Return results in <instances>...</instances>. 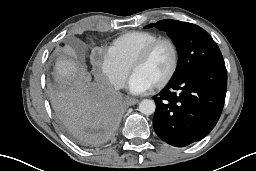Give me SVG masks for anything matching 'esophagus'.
Instances as JSON below:
<instances>
[{
    "label": "esophagus",
    "mask_w": 256,
    "mask_h": 171,
    "mask_svg": "<svg viewBox=\"0 0 256 171\" xmlns=\"http://www.w3.org/2000/svg\"><path fill=\"white\" fill-rule=\"evenodd\" d=\"M138 102H139V100L136 99V98H130V97H128V98L125 99V104H126L127 106H133V105L137 104Z\"/></svg>",
    "instance_id": "34e87169"
}]
</instances>
